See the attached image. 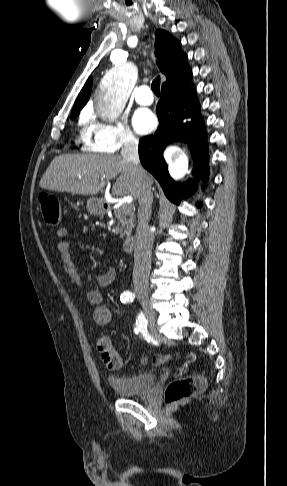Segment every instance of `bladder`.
I'll return each instance as SVG.
<instances>
[{"mask_svg": "<svg viewBox=\"0 0 287 486\" xmlns=\"http://www.w3.org/2000/svg\"><path fill=\"white\" fill-rule=\"evenodd\" d=\"M107 381L116 393L129 397L148 393L155 383V376L150 373L129 376L110 375Z\"/></svg>", "mask_w": 287, "mask_h": 486, "instance_id": "bladder-1", "label": "bladder"}]
</instances>
